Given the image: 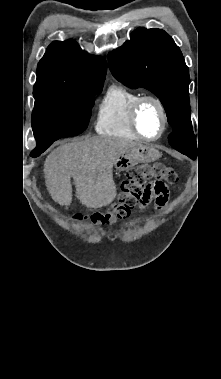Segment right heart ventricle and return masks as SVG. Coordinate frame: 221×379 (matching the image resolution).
<instances>
[{
  "instance_id": "e07e8e85",
  "label": "right heart ventricle",
  "mask_w": 221,
  "mask_h": 379,
  "mask_svg": "<svg viewBox=\"0 0 221 379\" xmlns=\"http://www.w3.org/2000/svg\"><path fill=\"white\" fill-rule=\"evenodd\" d=\"M140 96V92L129 87L112 85L99 105L96 131L105 136L138 140L130 124V110Z\"/></svg>"
}]
</instances>
